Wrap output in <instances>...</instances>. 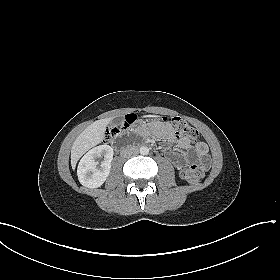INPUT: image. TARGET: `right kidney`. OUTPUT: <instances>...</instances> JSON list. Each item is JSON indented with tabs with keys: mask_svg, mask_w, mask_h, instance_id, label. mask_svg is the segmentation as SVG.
<instances>
[{
	"mask_svg": "<svg viewBox=\"0 0 280 280\" xmlns=\"http://www.w3.org/2000/svg\"><path fill=\"white\" fill-rule=\"evenodd\" d=\"M113 154V149L106 144L99 145L88 151L78 165L77 175L79 182L88 188L100 187L109 176ZM101 156L104 157V161L99 168L95 159Z\"/></svg>",
	"mask_w": 280,
	"mask_h": 280,
	"instance_id": "ca27d5eb",
	"label": "right kidney"
}]
</instances>
